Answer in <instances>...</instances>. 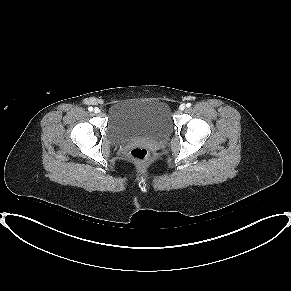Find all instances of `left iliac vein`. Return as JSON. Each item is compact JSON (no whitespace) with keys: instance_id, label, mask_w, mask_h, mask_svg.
I'll return each mask as SVG.
<instances>
[{"instance_id":"1","label":"left iliac vein","mask_w":291,"mask_h":291,"mask_svg":"<svg viewBox=\"0 0 291 291\" xmlns=\"http://www.w3.org/2000/svg\"><path fill=\"white\" fill-rule=\"evenodd\" d=\"M185 108H186V106H185L184 104H181L180 107H179V110L182 111V110H184Z\"/></svg>"}]
</instances>
